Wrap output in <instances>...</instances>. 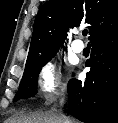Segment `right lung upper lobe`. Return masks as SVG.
I'll return each instance as SVG.
<instances>
[{
  "label": "right lung upper lobe",
  "mask_w": 118,
  "mask_h": 123,
  "mask_svg": "<svg viewBox=\"0 0 118 123\" xmlns=\"http://www.w3.org/2000/svg\"><path fill=\"white\" fill-rule=\"evenodd\" d=\"M86 25L91 43L118 30V0H49L38 12L26 67L57 53L69 28Z\"/></svg>",
  "instance_id": "cb5924a9"
}]
</instances>
